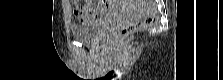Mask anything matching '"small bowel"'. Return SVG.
I'll use <instances>...</instances> for the list:
<instances>
[{"instance_id": "obj_1", "label": "small bowel", "mask_w": 223, "mask_h": 80, "mask_svg": "<svg viewBox=\"0 0 223 80\" xmlns=\"http://www.w3.org/2000/svg\"><path fill=\"white\" fill-rule=\"evenodd\" d=\"M112 7V1L99 2L97 5L92 1H86L83 5L73 4V11L81 20H95Z\"/></svg>"}]
</instances>
